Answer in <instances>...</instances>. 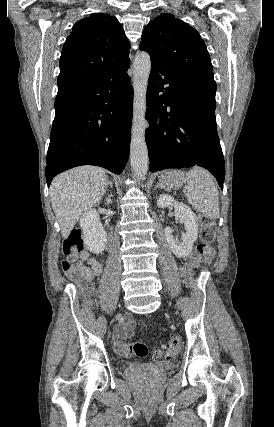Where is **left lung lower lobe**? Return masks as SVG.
Segmentation results:
<instances>
[{"mask_svg":"<svg viewBox=\"0 0 274 427\" xmlns=\"http://www.w3.org/2000/svg\"><path fill=\"white\" fill-rule=\"evenodd\" d=\"M146 129L150 171L209 170L223 189L225 163L216 130V87L185 78L151 60Z\"/></svg>","mask_w":274,"mask_h":427,"instance_id":"0a47b994","label":"left lung lower lobe"}]
</instances>
